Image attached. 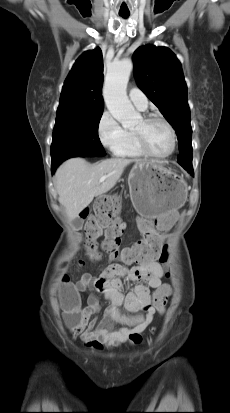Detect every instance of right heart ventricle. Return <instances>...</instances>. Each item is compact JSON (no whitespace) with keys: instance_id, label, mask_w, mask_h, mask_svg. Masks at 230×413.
I'll list each match as a JSON object with an SVG mask.
<instances>
[{"instance_id":"1","label":"right heart ventricle","mask_w":230,"mask_h":413,"mask_svg":"<svg viewBox=\"0 0 230 413\" xmlns=\"http://www.w3.org/2000/svg\"><path fill=\"white\" fill-rule=\"evenodd\" d=\"M117 155L124 158H140L144 156L132 131H127L126 140L117 152Z\"/></svg>"}]
</instances>
